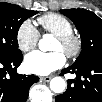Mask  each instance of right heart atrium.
<instances>
[{"label": "right heart atrium", "mask_w": 102, "mask_h": 102, "mask_svg": "<svg viewBox=\"0 0 102 102\" xmlns=\"http://www.w3.org/2000/svg\"><path fill=\"white\" fill-rule=\"evenodd\" d=\"M39 37V31L30 19L24 20L17 28L16 42L18 47L24 52L35 48Z\"/></svg>", "instance_id": "1"}]
</instances>
